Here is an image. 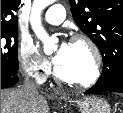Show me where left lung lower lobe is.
<instances>
[{"instance_id":"obj_1","label":"left lung lower lobe","mask_w":123,"mask_h":113,"mask_svg":"<svg viewBox=\"0 0 123 113\" xmlns=\"http://www.w3.org/2000/svg\"><path fill=\"white\" fill-rule=\"evenodd\" d=\"M106 91L123 93V74L111 84L101 83L99 80L97 83L85 91L86 94H99Z\"/></svg>"}]
</instances>
